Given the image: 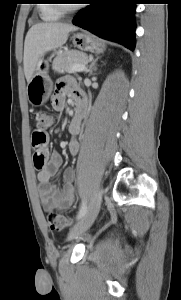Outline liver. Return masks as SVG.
I'll list each match as a JSON object with an SVG mask.
<instances>
[{
	"label": "liver",
	"mask_w": 181,
	"mask_h": 300,
	"mask_svg": "<svg viewBox=\"0 0 181 300\" xmlns=\"http://www.w3.org/2000/svg\"><path fill=\"white\" fill-rule=\"evenodd\" d=\"M78 28L65 23H38L33 25L24 43V73L29 83L36 73L42 57L50 51L62 47L71 31Z\"/></svg>",
	"instance_id": "obj_1"
}]
</instances>
